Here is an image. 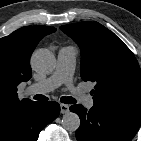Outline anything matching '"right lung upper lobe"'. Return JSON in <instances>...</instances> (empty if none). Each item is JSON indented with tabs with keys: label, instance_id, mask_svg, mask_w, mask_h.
I'll return each mask as SVG.
<instances>
[{
	"label": "right lung upper lobe",
	"instance_id": "cb5924a9",
	"mask_svg": "<svg viewBox=\"0 0 141 141\" xmlns=\"http://www.w3.org/2000/svg\"><path fill=\"white\" fill-rule=\"evenodd\" d=\"M56 29L48 26H26L0 39V122L33 103L18 99L17 86L31 78V53L38 42Z\"/></svg>",
	"mask_w": 141,
	"mask_h": 141
}]
</instances>
